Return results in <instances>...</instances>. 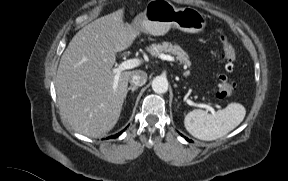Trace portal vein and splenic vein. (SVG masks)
Masks as SVG:
<instances>
[{
  "mask_svg": "<svg viewBox=\"0 0 288 181\" xmlns=\"http://www.w3.org/2000/svg\"><path fill=\"white\" fill-rule=\"evenodd\" d=\"M160 58L163 59V60H168V61H171L172 60V57L169 56V55H165V54H161L160 55ZM142 63V60L141 59H138V58H134V59H128L124 62H122L121 64H119V66L114 69L116 75L114 77V85H113V88L116 89L117 88V84H118V80H119V76H120V73L124 70H127V69H132V68H135V67H138L139 65H141ZM187 103L191 106H194V107H200V108H205L207 111H210L211 113H215V110L213 107L209 106V105H206V104H203V103H196V102H193L191 100H187Z\"/></svg>",
  "mask_w": 288,
  "mask_h": 181,
  "instance_id": "1",
  "label": "portal vein and splenic vein"
}]
</instances>
